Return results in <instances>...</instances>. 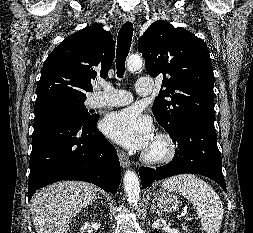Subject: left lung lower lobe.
Returning a JSON list of instances; mask_svg holds the SVG:
<instances>
[{
	"label": "left lung lower lobe",
	"instance_id": "1",
	"mask_svg": "<svg viewBox=\"0 0 253 233\" xmlns=\"http://www.w3.org/2000/svg\"><path fill=\"white\" fill-rule=\"evenodd\" d=\"M172 140L178 146L172 162L157 169H139L143 189L155 180L194 173L211 178L226 192L214 120L199 117L184 122L180 132Z\"/></svg>",
	"mask_w": 253,
	"mask_h": 233
}]
</instances>
